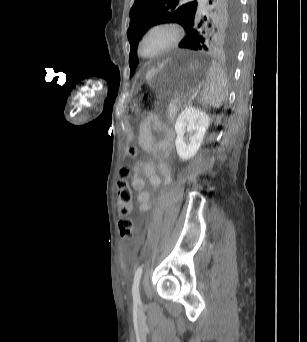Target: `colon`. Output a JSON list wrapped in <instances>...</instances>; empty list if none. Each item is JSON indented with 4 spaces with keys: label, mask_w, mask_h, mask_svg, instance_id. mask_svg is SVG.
Returning <instances> with one entry per match:
<instances>
[{
    "label": "colon",
    "mask_w": 307,
    "mask_h": 342,
    "mask_svg": "<svg viewBox=\"0 0 307 342\" xmlns=\"http://www.w3.org/2000/svg\"><path fill=\"white\" fill-rule=\"evenodd\" d=\"M139 88L142 94L150 93V83L140 82ZM152 109V102L148 99H144L135 104L134 111L136 114H141ZM129 156L136 157L138 154V149L136 147L130 148L128 151ZM121 179L117 183V195L121 202L120 212L122 215L127 216L130 213V203L132 200V191L129 187L127 179L131 177L132 170L129 167H123L120 171ZM118 228L120 236L123 240H130L134 234V222L129 217L121 218L118 221Z\"/></svg>",
    "instance_id": "obj_1"
}]
</instances>
